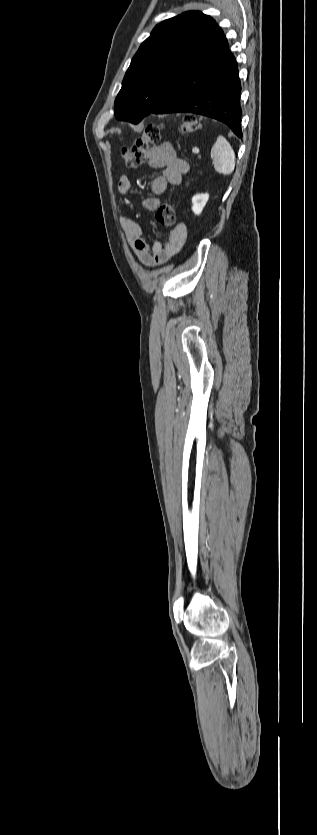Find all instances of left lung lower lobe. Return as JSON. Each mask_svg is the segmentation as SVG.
I'll return each mask as SVG.
<instances>
[{
	"instance_id": "obj_1",
	"label": "left lung lower lobe",
	"mask_w": 317,
	"mask_h": 835,
	"mask_svg": "<svg viewBox=\"0 0 317 835\" xmlns=\"http://www.w3.org/2000/svg\"><path fill=\"white\" fill-rule=\"evenodd\" d=\"M240 92L237 62L218 28L187 67L172 96L153 114H200L225 123L242 138Z\"/></svg>"
}]
</instances>
